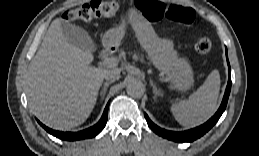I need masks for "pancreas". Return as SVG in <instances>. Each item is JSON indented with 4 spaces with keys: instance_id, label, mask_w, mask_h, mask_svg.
<instances>
[{
    "instance_id": "obj_1",
    "label": "pancreas",
    "mask_w": 259,
    "mask_h": 156,
    "mask_svg": "<svg viewBox=\"0 0 259 156\" xmlns=\"http://www.w3.org/2000/svg\"><path fill=\"white\" fill-rule=\"evenodd\" d=\"M134 58H137V56H136V55H134Z\"/></svg>"
}]
</instances>
